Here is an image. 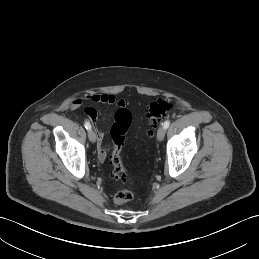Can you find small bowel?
<instances>
[{"label": "small bowel", "mask_w": 259, "mask_h": 259, "mask_svg": "<svg viewBox=\"0 0 259 259\" xmlns=\"http://www.w3.org/2000/svg\"><path fill=\"white\" fill-rule=\"evenodd\" d=\"M84 100H87L89 102L96 103V104L115 105L120 109L126 107V102L124 99L117 98L112 94H90V95H87L84 98ZM81 104H82V99L75 100L72 103V108L76 109L80 107ZM85 114L95 126L96 135H97L96 138L98 142L97 156L101 162H104L108 155V148L103 144L104 132L97 126V118H98L97 111L94 108L87 107L85 109Z\"/></svg>", "instance_id": "c3829d8e"}]
</instances>
